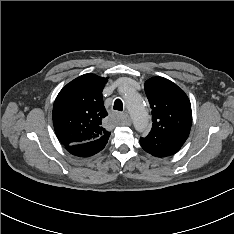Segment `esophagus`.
<instances>
[{
    "mask_svg": "<svg viewBox=\"0 0 234 234\" xmlns=\"http://www.w3.org/2000/svg\"><path fill=\"white\" fill-rule=\"evenodd\" d=\"M121 117H122V119H123V121L125 122L126 125L131 124V118L127 113H122Z\"/></svg>",
    "mask_w": 234,
    "mask_h": 234,
    "instance_id": "esophagus-1",
    "label": "esophagus"
}]
</instances>
